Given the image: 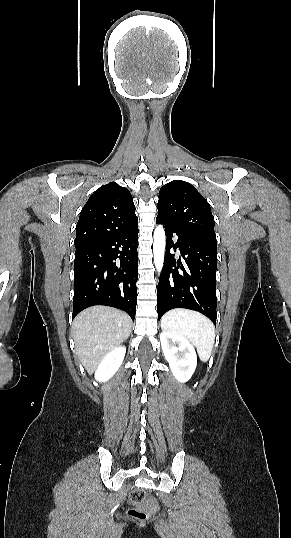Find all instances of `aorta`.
Returning a JSON list of instances; mask_svg holds the SVG:
<instances>
[{
	"label": "aorta",
	"instance_id": "obj_1",
	"mask_svg": "<svg viewBox=\"0 0 291 538\" xmlns=\"http://www.w3.org/2000/svg\"><path fill=\"white\" fill-rule=\"evenodd\" d=\"M165 252V232L161 225L157 226L154 231L153 254L154 264L158 272H161L164 262Z\"/></svg>",
	"mask_w": 291,
	"mask_h": 538
}]
</instances>
